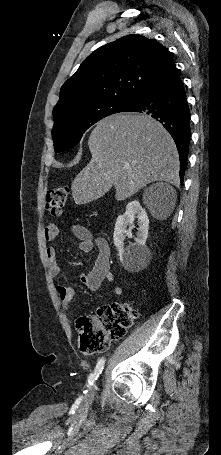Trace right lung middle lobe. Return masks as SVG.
<instances>
[{
  "label": "right lung middle lobe",
  "mask_w": 221,
  "mask_h": 455,
  "mask_svg": "<svg viewBox=\"0 0 221 455\" xmlns=\"http://www.w3.org/2000/svg\"><path fill=\"white\" fill-rule=\"evenodd\" d=\"M132 102L108 100L91 105L72 115L54 120L52 136L55 152H63L79 143L83 133L104 117L123 112Z\"/></svg>",
  "instance_id": "dd1d6c3e"
}]
</instances>
